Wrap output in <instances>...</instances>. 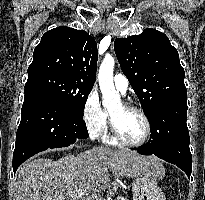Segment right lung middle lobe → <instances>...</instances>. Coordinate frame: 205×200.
Returning a JSON list of instances; mask_svg holds the SVG:
<instances>
[{"instance_id":"1","label":"right lung middle lobe","mask_w":205,"mask_h":200,"mask_svg":"<svg viewBox=\"0 0 205 200\" xmlns=\"http://www.w3.org/2000/svg\"><path fill=\"white\" fill-rule=\"evenodd\" d=\"M92 87L64 76L44 74L29 78L25 84V91L34 89L45 92L70 111L83 117L85 103Z\"/></svg>"}]
</instances>
